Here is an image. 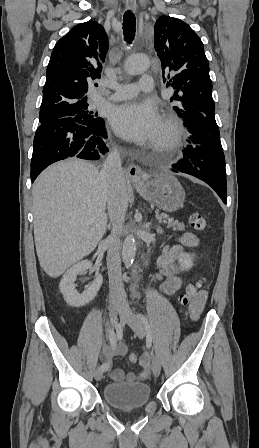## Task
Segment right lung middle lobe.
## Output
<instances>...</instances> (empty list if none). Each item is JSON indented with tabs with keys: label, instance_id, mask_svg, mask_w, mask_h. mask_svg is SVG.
Masks as SVG:
<instances>
[{
	"label": "right lung middle lobe",
	"instance_id": "obj_1",
	"mask_svg": "<svg viewBox=\"0 0 259 448\" xmlns=\"http://www.w3.org/2000/svg\"><path fill=\"white\" fill-rule=\"evenodd\" d=\"M67 117L74 118L78 123H81L83 125H93L97 122H100L102 119L98 117L97 113L90 111L88 105H80L65 108L56 112L40 114L39 121L41 125L53 120Z\"/></svg>",
	"mask_w": 259,
	"mask_h": 448
}]
</instances>
